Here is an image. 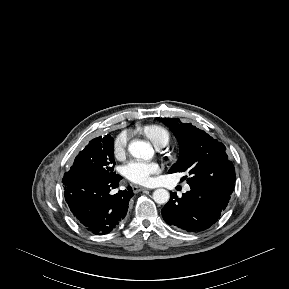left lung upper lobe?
I'll return each instance as SVG.
<instances>
[{"mask_svg":"<svg viewBox=\"0 0 289 289\" xmlns=\"http://www.w3.org/2000/svg\"><path fill=\"white\" fill-rule=\"evenodd\" d=\"M170 128L180 146L178 161L169 173L189 172L187 183L230 196L234 190L235 169L226 147L191 123L178 118H157ZM186 178V177H185Z\"/></svg>","mask_w":289,"mask_h":289,"instance_id":"obj_1","label":"left lung upper lobe"}]
</instances>
